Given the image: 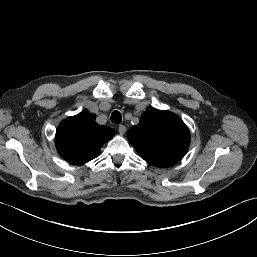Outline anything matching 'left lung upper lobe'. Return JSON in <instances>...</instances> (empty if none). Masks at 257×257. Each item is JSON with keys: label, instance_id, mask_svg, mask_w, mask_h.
Segmentation results:
<instances>
[{"label": "left lung upper lobe", "instance_id": "5c2ea615", "mask_svg": "<svg viewBox=\"0 0 257 257\" xmlns=\"http://www.w3.org/2000/svg\"><path fill=\"white\" fill-rule=\"evenodd\" d=\"M127 138L145 161L160 167L180 161L190 143L189 129L177 115L154 108L144 112Z\"/></svg>", "mask_w": 257, "mask_h": 257}]
</instances>
